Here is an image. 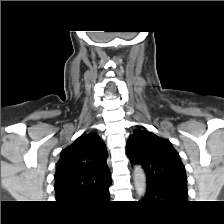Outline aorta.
<instances>
[{"instance_id": "obj_1", "label": "aorta", "mask_w": 224, "mask_h": 224, "mask_svg": "<svg viewBox=\"0 0 224 224\" xmlns=\"http://www.w3.org/2000/svg\"><path fill=\"white\" fill-rule=\"evenodd\" d=\"M134 187L138 197H144L147 190L146 175L141 166H135L133 171Z\"/></svg>"}]
</instances>
